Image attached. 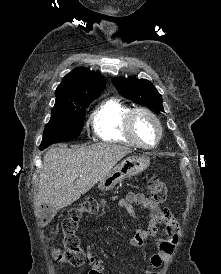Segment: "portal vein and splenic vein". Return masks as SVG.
<instances>
[{
	"label": "portal vein and splenic vein",
	"instance_id": "portal-vein-and-splenic-vein-1",
	"mask_svg": "<svg viewBox=\"0 0 221 274\" xmlns=\"http://www.w3.org/2000/svg\"><path fill=\"white\" fill-rule=\"evenodd\" d=\"M77 177H78L77 175H74L72 178L75 179V178H77Z\"/></svg>",
	"mask_w": 221,
	"mask_h": 274
}]
</instances>
